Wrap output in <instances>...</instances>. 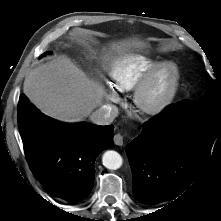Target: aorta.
<instances>
[{"instance_id": "1", "label": "aorta", "mask_w": 221, "mask_h": 221, "mask_svg": "<svg viewBox=\"0 0 221 221\" xmlns=\"http://www.w3.org/2000/svg\"><path fill=\"white\" fill-rule=\"evenodd\" d=\"M102 162L106 168L116 170L122 165V157L118 152L109 150L103 154Z\"/></svg>"}]
</instances>
